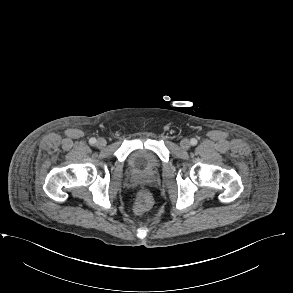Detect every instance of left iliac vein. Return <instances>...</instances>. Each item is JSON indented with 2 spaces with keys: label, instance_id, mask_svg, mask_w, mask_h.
<instances>
[{
  "label": "left iliac vein",
  "instance_id": "left-iliac-vein-1",
  "mask_svg": "<svg viewBox=\"0 0 293 293\" xmlns=\"http://www.w3.org/2000/svg\"><path fill=\"white\" fill-rule=\"evenodd\" d=\"M190 145H191L190 141L188 139H186V138L182 139L181 142H180V146L184 150L189 149Z\"/></svg>",
  "mask_w": 293,
  "mask_h": 293
}]
</instances>
